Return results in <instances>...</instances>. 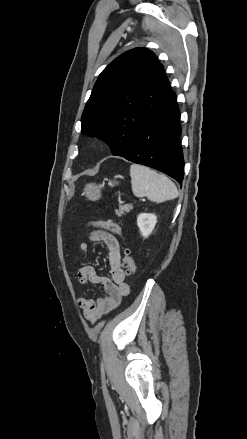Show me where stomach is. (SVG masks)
<instances>
[{"instance_id":"stomach-1","label":"stomach","mask_w":247,"mask_h":439,"mask_svg":"<svg viewBox=\"0 0 247 439\" xmlns=\"http://www.w3.org/2000/svg\"><path fill=\"white\" fill-rule=\"evenodd\" d=\"M109 186L113 187L118 184L115 181H109ZM101 185L94 183L87 184L84 188L83 195L87 197L88 200L95 201L101 197Z\"/></svg>"}]
</instances>
